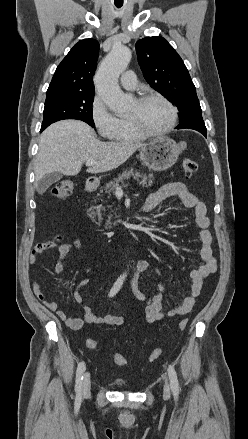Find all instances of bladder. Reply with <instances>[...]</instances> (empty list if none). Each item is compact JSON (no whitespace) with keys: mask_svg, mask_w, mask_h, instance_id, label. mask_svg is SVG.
<instances>
[{"mask_svg":"<svg viewBox=\"0 0 248 439\" xmlns=\"http://www.w3.org/2000/svg\"><path fill=\"white\" fill-rule=\"evenodd\" d=\"M118 384L124 385L123 383H118Z\"/></svg>","mask_w":248,"mask_h":439,"instance_id":"obj_1","label":"bladder"}]
</instances>
